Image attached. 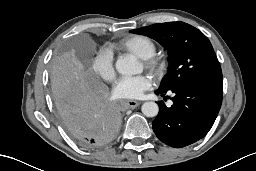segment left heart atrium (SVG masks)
Listing matches in <instances>:
<instances>
[{"mask_svg": "<svg viewBox=\"0 0 256 171\" xmlns=\"http://www.w3.org/2000/svg\"><path fill=\"white\" fill-rule=\"evenodd\" d=\"M151 86V79L146 75L122 77L115 83L113 94L119 99H137Z\"/></svg>", "mask_w": 256, "mask_h": 171, "instance_id": "left-heart-atrium-1", "label": "left heart atrium"}]
</instances>
